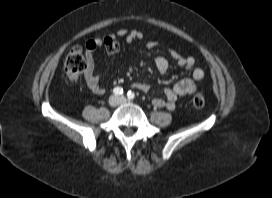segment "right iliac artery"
I'll return each mask as SVG.
<instances>
[{"label":"right iliac artery","instance_id":"82829eb1","mask_svg":"<svg viewBox=\"0 0 272 198\" xmlns=\"http://www.w3.org/2000/svg\"><path fill=\"white\" fill-rule=\"evenodd\" d=\"M113 93H114L115 95H121V94H123V89H122L121 87H115V88L113 89Z\"/></svg>","mask_w":272,"mask_h":198}]
</instances>
